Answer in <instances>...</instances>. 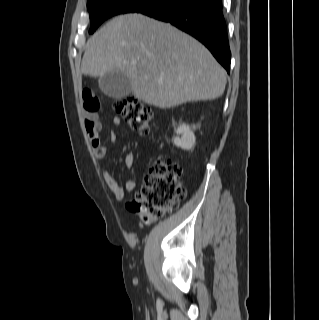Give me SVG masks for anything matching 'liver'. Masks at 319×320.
Returning <instances> with one entry per match:
<instances>
[{
    "label": "liver",
    "mask_w": 319,
    "mask_h": 320,
    "mask_svg": "<svg viewBox=\"0 0 319 320\" xmlns=\"http://www.w3.org/2000/svg\"><path fill=\"white\" fill-rule=\"evenodd\" d=\"M111 71L125 73L135 97L159 108L216 99L226 85L224 69L201 43L136 13L115 17L86 43L81 72Z\"/></svg>",
    "instance_id": "6515ba94"
}]
</instances>
